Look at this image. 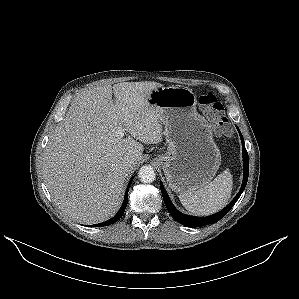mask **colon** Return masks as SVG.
Instances as JSON below:
<instances>
[{
  "label": "colon",
  "mask_w": 299,
  "mask_h": 299,
  "mask_svg": "<svg viewBox=\"0 0 299 299\" xmlns=\"http://www.w3.org/2000/svg\"><path fill=\"white\" fill-rule=\"evenodd\" d=\"M199 106L210 121L213 132L217 136H229L232 128L225 116L224 107L212 93H206L198 98Z\"/></svg>",
  "instance_id": "5ec220e1"
}]
</instances>
